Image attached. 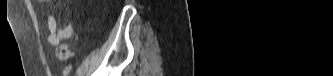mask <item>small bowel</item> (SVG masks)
<instances>
[{
    "instance_id": "1",
    "label": "small bowel",
    "mask_w": 333,
    "mask_h": 76,
    "mask_svg": "<svg viewBox=\"0 0 333 76\" xmlns=\"http://www.w3.org/2000/svg\"><path fill=\"white\" fill-rule=\"evenodd\" d=\"M48 30V41L53 46H57L63 40L69 39L73 36V28L71 26L59 27L54 16H50L48 19Z\"/></svg>"
}]
</instances>
